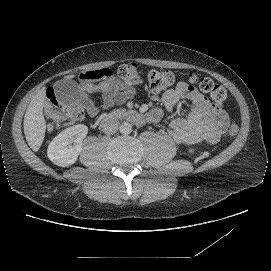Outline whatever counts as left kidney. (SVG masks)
<instances>
[{
  "mask_svg": "<svg viewBox=\"0 0 271 271\" xmlns=\"http://www.w3.org/2000/svg\"><path fill=\"white\" fill-rule=\"evenodd\" d=\"M189 153H194V149H189Z\"/></svg>",
  "mask_w": 271,
  "mask_h": 271,
  "instance_id": "5707ae66",
  "label": "left kidney"
}]
</instances>
